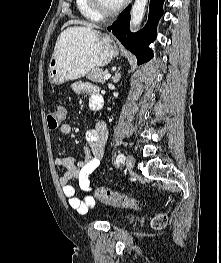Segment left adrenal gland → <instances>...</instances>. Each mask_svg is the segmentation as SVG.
<instances>
[{
  "mask_svg": "<svg viewBox=\"0 0 221 263\" xmlns=\"http://www.w3.org/2000/svg\"><path fill=\"white\" fill-rule=\"evenodd\" d=\"M119 71H120V67H118V69L116 70L114 76L112 77L113 83H117L121 79V73Z\"/></svg>",
  "mask_w": 221,
  "mask_h": 263,
  "instance_id": "left-adrenal-gland-1",
  "label": "left adrenal gland"
}]
</instances>
